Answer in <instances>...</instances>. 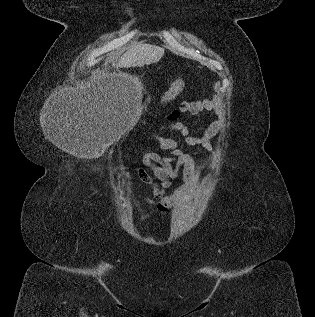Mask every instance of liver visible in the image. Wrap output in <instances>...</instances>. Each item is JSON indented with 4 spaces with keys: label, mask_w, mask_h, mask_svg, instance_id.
Returning <instances> with one entry per match:
<instances>
[{
    "label": "liver",
    "mask_w": 315,
    "mask_h": 317,
    "mask_svg": "<svg viewBox=\"0 0 315 317\" xmlns=\"http://www.w3.org/2000/svg\"><path fill=\"white\" fill-rule=\"evenodd\" d=\"M164 52V48L158 46L135 45L122 55L117 66L120 68H130L157 63L163 57ZM122 98L124 100L128 99L126 90H124Z\"/></svg>",
    "instance_id": "6515ba94"
}]
</instances>
